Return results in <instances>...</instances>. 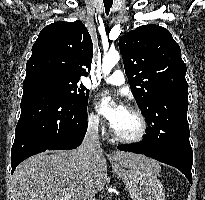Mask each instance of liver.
Segmentation results:
<instances>
[{
  "label": "liver",
  "mask_w": 205,
  "mask_h": 200,
  "mask_svg": "<svg viewBox=\"0 0 205 200\" xmlns=\"http://www.w3.org/2000/svg\"><path fill=\"white\" fill-rule=\"evenodd\" d=\"M113 157L129 169L149 168L159 172L158 164L143 155L114 152ZM108 183L106 159L97 149L88 163L78 150L41 153L20 163L12 176L13 200H89Z\"/></svg>",
  "instance_id": "liver-1"
}]
</instances>
